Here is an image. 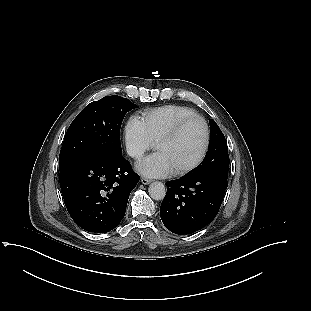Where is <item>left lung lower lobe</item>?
I'll list each match as a JSON object with an SVG mask.
<instances>
[{"label":"left lung lower lobe","instance_id":"0a47b994","mask_svg":"<svg viewBox=\"0 0 311 311\" xmlns=\"http://www.w3.org/2000/svg\"><path fill=\"white\" fill-rule=\"evenodd\" d=\"M160 207L163 224L175 234H191L211 223L217 215L227 180L215 175L188 176L166 183Z\"/></svg>","mask_w":311,"mask_h":311}]
</instances>
